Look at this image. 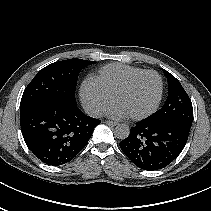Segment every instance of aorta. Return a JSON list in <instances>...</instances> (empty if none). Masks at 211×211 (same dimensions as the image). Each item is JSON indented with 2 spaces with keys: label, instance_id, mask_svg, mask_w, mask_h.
Here are the masks:
<instances>
[{
  "label": "aorta",
  "instance_id": "obj_1",
  "mask_svg": "<svg viewBox=\"0 0 211 211\" xmlns=\"http://www.w3.org/2000/svg\"><path fill=\"white\" fill-rule=\"evenodd\" d=\"M129 133H130V128L126 124H118L114 130L115 137L121 140L126 139L129 136Z\"/></svg>",
  "mask_w": 211,
  "mask_h": 211
}]
</instances>
